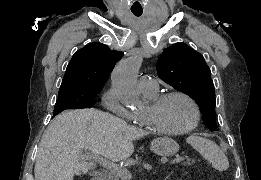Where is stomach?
Masks as SVG:
<instances>
[{
  "label": "stomach",
  "instance_id": "1",
  "mask_svg": "<svg viewBox=\"0 0 261 180\" xmlns=\"http://www.w3.org/2000/svg\"><path fill=\"white\" fill-rule=\"evenodd\" d=\"M151 151L159 156H173L179 150L178 143L169 137L156 138L151 142Z\"/></svg>",
  "mask_w": 261,
  "mask_h": 180
}]
</instances>
